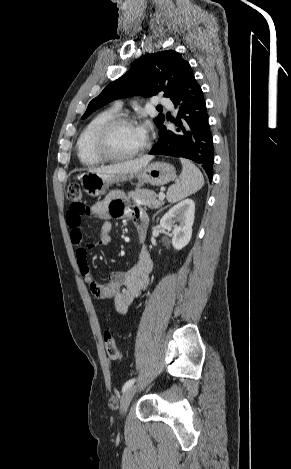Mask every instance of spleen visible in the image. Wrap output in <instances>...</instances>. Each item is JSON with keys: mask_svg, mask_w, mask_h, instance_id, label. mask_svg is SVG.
Wrapping results in <instances>:
<instances>
[{"mask_svg": "<svg viewBox=\"0 0 291 469\" xmlns=\"http://www.w3.org/2000/svg\"><path fill=\"white\" fill-rule=\"evenodd\" d=\"M183 166L180 182L168 188L167 200L170 203L178 202L200 190L204 185L201 171L189 160H180Z\"/></svg>", "mask_w": 291, "mask_h": 469, "instance_id": "1", "label": "spleen"}]
</instances>
